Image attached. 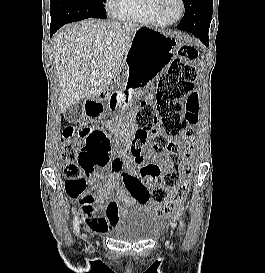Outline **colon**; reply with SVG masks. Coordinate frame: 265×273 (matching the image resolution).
Instances as JSON below:
<instances>
[{
    "mask_svg": "<svg viewBox=\"0 0 265 273\" xmlns=\"http://www.w3.org/2000/svg\"><path fill=\"white\" fill-rule=\"evenodd\" d=\"M179 53L159 81L155 104L144 103L137 112L138 130L131 145V154L137 163L143 161L142 152L149 137L153 155H168L171 165L164 172L161 183L152 189L153 201L167 207L186 194L187 186L182 184V178L190 172L192 157L187 148L197 145L191 135L199 117V96L192 87L197 78L194 62L199 51L194 46L182 45ZM63 137L66 139L63 155L68 174L65 190L69 197H78L88 191L85 177L96 168L109 165L111 143L104 131L91 126L67 127ZM152 173L157 177L161 171L154 168ZM110 208L113 211L115 205L112 203Z\"/></svg>",
    "mask_w": 265,
    "mask_h": 273,
    "instance_id": "obj_1",
    "label": "colon"
}]
</instances>
